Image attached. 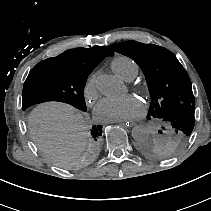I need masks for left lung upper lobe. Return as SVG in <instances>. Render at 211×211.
<instances>
[{
    "instance_id": "obj_1",
    "label": "left lung upper lobe",
    "mask_w": 211,
    "mask_h": 211,
    "mask_svg": "<svg viewBox=\"0 0 211 211\" xmlns=\"http://www.w3.org/2000/svg\"><path fill=\"white\" fill-rule=\"evenodd\" d=\"M108 48L132 58L146 77L151 95L147 119L157 124L159 134L142 141L140 151L151 158L175 155L195 124V98L186 70L171 51L154 44L127 41Z\"/></svg>"
}]
</instances>
